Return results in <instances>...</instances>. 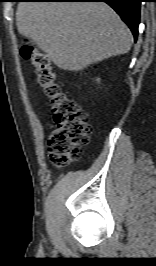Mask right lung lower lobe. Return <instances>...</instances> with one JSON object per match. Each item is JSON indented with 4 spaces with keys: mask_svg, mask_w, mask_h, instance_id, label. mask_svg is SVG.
<instances>
[{
    "mask_svg": "<svg viewBox=\"0 0 156 266\" xmlns=\"http://www.w3.org/2000/svg\"><path fill=\"white\" fill-rule=\"evenodd\" d=\"M46 2H106L131 29L137 40L141 0H30Z\"/></svg>",
    "mask_w": 156,
    "mask_h": 266,
    "instance_id": "right-lung-lower-lobe-1",
    "label": "right lung lower lobe"
}]
</instances>
